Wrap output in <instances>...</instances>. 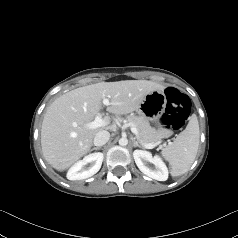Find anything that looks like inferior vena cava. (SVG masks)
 Instances as JSON below:
<instances>
[{
  "label": "inferior vena cava",
  "mask_w": 238,
  "mask_h": 238,
  "mask_svg": "<svg viewBox=\"0 0 238 238\" xmlns=\"http://www.w3.org/2000/svg\"><path fill=\"white\" fill-rule=\"evenodd\" d=\"M110 139V133L106 130L99 131L94 137V145L95 146H103Z\"/></svg>",
  "instance_id": "inferior-vena-cava-1"
}]
</instances>
